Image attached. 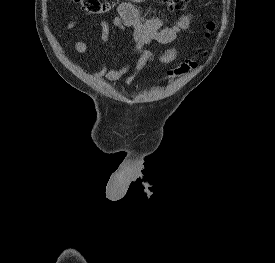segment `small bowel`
Returning <instances> with one entry per match:
<instances>
[{"label": "small bowel", "instance_id": "obj_1", "mask_svg": "<svg viewBox=\"0 0 275 263\" xmlns=\"http://www.w3.org/2000/svg\"><path fill=\"white\" fill-rule=\"evenodd\" d=\"M145 0H131L121 2L117 7V15L113 18L112 23L107 20L101 21L100 39L103 44H107L110 36L111 24L119 31L127 34V30L132 31V51L139 54L135 63L134 72L126 79V83H132L139 73L146 67L147 64L154 61V54L146 49L150 43L156 42L160 44H170L174 42L181 31L189 28L192 22L190 13L183 14L178 21L171 26H163V20L160 16L154 15L148 18H143L134 3L143 2ZM75 22L71 21L67 25V29H72ZM73 48L80 54L89 53L88 45L83 41H76ZM178 51L171 47L165 50L159 57L162 64H169L177 57ZM131 67L130 63L117 68H108L104 63H100L99 70L93 73L96 78H104L110 82H115L125 76Z\"/></svg>", "mask_w": 275, "mask_h": 263}]
</instances>
